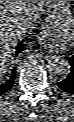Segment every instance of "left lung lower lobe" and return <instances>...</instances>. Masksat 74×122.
Returning a JSON list of instances; mask_svg holds the SVG:
<instances>
[{
    "mask_svg": "<svg viewBox=\"0 0 74 122\" xmlns=\"http://www.w3.org/2000/svg\"><path fill=\"white\" fill-rule=\"evenodd\" d=\"M71 64V72L69 75L62 81L58 82L59 90L67 93V94H74V55L70 60Z\"/></svg>",
    "mask_w": 74,
    "mask_h": 122,
    "instance_id": "obj_1",
    "label": "left lung lower lobe"
}]
</instances>
